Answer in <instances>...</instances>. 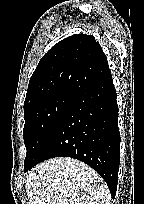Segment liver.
<instances>
[{"label": "liver", "mask_w": 144, "mask_h": 204, "mask_svg": "<svg viewBox=\"0 0 144 204\" xmlns=\"http://www.w3.org/2000/svg\"><path fill=\"white\" fill-rule=\"evenodd\" d=\"M26 178L28 204H111L109 189L101 176L76 159L46 160Z\"/></svg>", "instance_id": "liver-1"}]
</instances>
